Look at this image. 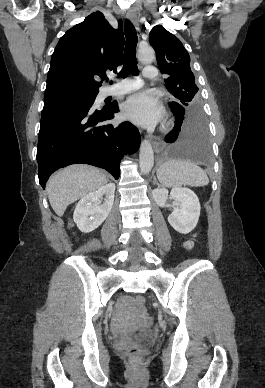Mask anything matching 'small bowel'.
Listing matches in <instances>:
<instances>
[{"instance_id": "obj_1", "label": "small bowel", "mask_w": 265, "mask_h": 388, "mask_svg": "<svg viewBox=\"0 0 265 388\" xmlns=\"http://www.w3.org/2000/svg\"><path fill=\"white\" fill-rule=\"evenodd\" d=\"M193 246V240H188L186 243H185V247L186 248H191Z\"/></svg>"}]
</instances>
